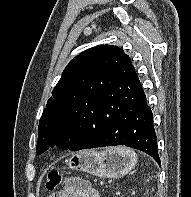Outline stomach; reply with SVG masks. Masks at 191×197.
I'll return each instance as SVG.
<instances>
[{
  "label": "stomach",
  "instance_id": "1",
  "mask_svg": "<svg viewBox=\"0 0 191 197\" xmlns=\"http://www.w3.org/2000/svg\"><path fill=\"white\" fill-rule=\"evenodd\" d=\"M135 163L129 156L119 153L116 148H110L103 152L83 150L68 160L69 168L103 178L123 177L130 172Z\"/></svg>",
  "mask_w": 191,
  "mask_h": 197
}]
</instances>
